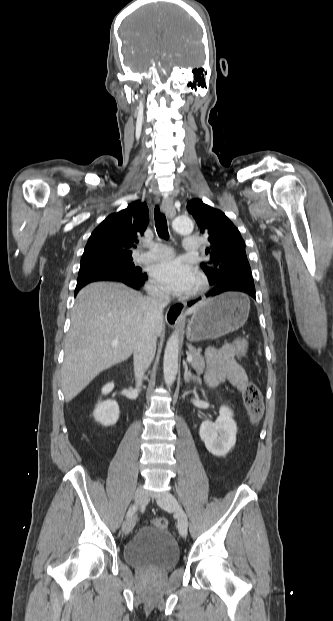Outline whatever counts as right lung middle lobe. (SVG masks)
<instances>
[{
    "instance_id": "right-lung-middle-lobe-1",
    "label": "right lung middle lobe",
    "mask_w": 333,
    "mask_h": 621,
    "mask_svg": "<svg viewBox=\"0 0 333 621\" xmlns=\"http://www.w3.org/2000/svg\"><path fill=\"white\" fill-rule=\"evenodd\" d=\"M132 257L82 258L79 274L103 272L117 275H140L141 269L135 267Z\"/></svg>"
}]
</instances>
